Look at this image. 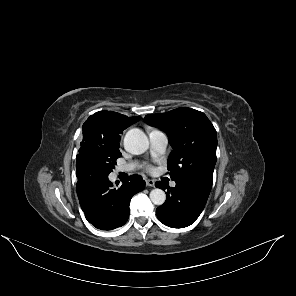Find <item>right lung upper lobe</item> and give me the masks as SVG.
Instances as JSON below:
<instances>
[{"label":"right lung upper lobe","instance_id":"cb5924a9","mask_svg":"<svg viewBox=\"0 0 296 296\" xmlns=\"http://www.w3.org/2000/svg\"><path fill=\"white\" fill-rule=\"evenodd\" d=\"M141 117H127L113 111H100L91 115L83 124L85 140L109 141L121 138L120 134Z\"/></svg>","mask_w":296,"mask_h":296}]
</instances>
